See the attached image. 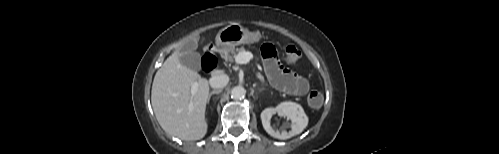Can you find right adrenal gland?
<instances>
[{
  "instance_id": "right-adrenal-gland-1",
  "label": "right adrenal gland",
  "mask_w": 499,
  "mask_h": 154,
  "mask_svg": "<svg viewBox=\"0 0 499 154\" xmlns=\"http://www.w3.org/2000/svg\"><path fill=\"white\" fill-rule=\"evenodd\" d=\"M219 93H221V90H213L212 92H210V93H209V95H208L207 103H209L210 98H211V96H212L213 94H216V95H217V94H219Z\"/></svg>"
}]
</instances>
